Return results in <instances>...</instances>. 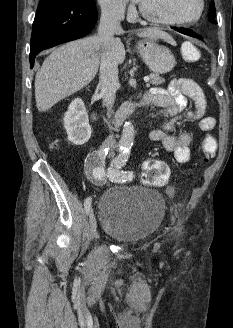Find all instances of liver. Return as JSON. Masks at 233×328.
I'll list each match as a JSON object with an SVG mask.
<instances>
[{
  "label": "liver",
  "mask_w": 233,
  "mask_h": 328,
  "mask_svg": "<svg viewBox=\"0 0 233 328\" xmlns=\"http://www.w3.org/2000/svg\"><path fill=\"white\" fill-rule=\"evenodd\" d=\"M118 32L117 34H123ZM139 37H156L174 44L173 38L159 29H143ZM103 44L98 36H90L55 49L43 62L35 77L36 106L40 112L49 110L65 97L88 85L97 74ZM112 51L118 63L125 60V48L114 39Z\"/></svg>",
  "instance_id": "obj_1"
}]
</instances>
